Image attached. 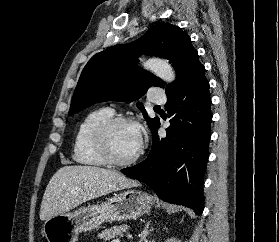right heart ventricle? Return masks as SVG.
Returning a JSON list of instances; mask_svg holds the SVG:
<instances>
[{
  "mask_svg": "<svg viewBox=\"0 0 279 242\" xmlns=\"http://www.w3.org/2000/svg\"><path fill=\"white\" fill-rule=\"evenodd\" d=\"M113 114L109 108H101L87 114L80 122L74 142L73 160L80 165L89 167L107 166V162L98 152L93 141V131L96 125Z\"/></svg>",
  "mask_w": 279,
  "mask_h": 242,
  "instance_id": "e07e8e85",
  "label": "right heart ventricle"
}]
</instances>
